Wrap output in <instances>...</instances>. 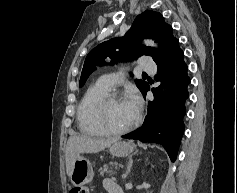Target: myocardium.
I'll list each match as a JSON object with an SVG mask.
<instances>
[{
	"mask_svg": "<svg viewBox=\"0 0 237 193\" xmlns=\"http://www.w3.org/2000/svg\"><path fill=\"white\" fill-rule=\"evenodd\" d=\"M123 100V97L120 96L117 93L110 92L107 95H105L97 104L95 108V122L96 125L100 128V130L106 134V135H112V136H120L123 134L128 133L131 131L138 123L139 121V114L135 117L133 122L122 129H113L111 128L105 121V116L107 113V109L110 104Z\"/></svg>",
	"mask_w": 237,
	"mask_h": 193,
	"instance_id": "obj_1",
	"label": "myocardium"
}]
</instances>
